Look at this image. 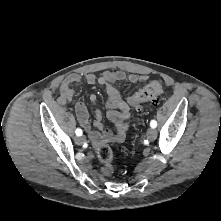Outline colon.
<instances>
[{
  "label": "colon",
  "mask_w": 221,
  "mask_h": 221,
  "mask_svg": "<svg viewBox=\"0 0 221 221\" xmlns=\"http://www.w3.org/2000/svg\"><path fill=\"white\" fill-rule=\"evenodd\" d=\"M163 86L161 81H153L145 87L139 89L128 100L131 107L139 109L141 105L148 101H156L162 93ZM97 156L102 167L101 171L105 176H110L113 173V152L107 145H101L97 149Z\"/></svg>",
  "instance_id": "colon-1"
}]
</instances>
